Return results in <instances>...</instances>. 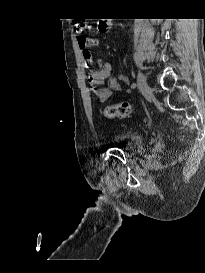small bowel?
<instances>
[{
	"label": "small bowel",
	"instance_id": "c3829d8e",
	"mask_svg": "<svg viewBox=\"0 0 205 273\" xmlns=\"http://www.w3.org/2000/svg\"><path fill=\"white\" fill-rule=\"evenodd\" d=\"M77 44L81 50L84 63L90 66L93 63V55L90 48L99 44L98 39L93 37L78 36ZM89 83L92 86H101L93 90L100 102L107 101L114 92L121 89L119 82L112 76V65L101 58L97 60L96 68L90 71ZM105 83H107V86L102 87Z\"/></svg>",
	"mask_w": 205,
	"mask_h": 273
}]
</instances>
